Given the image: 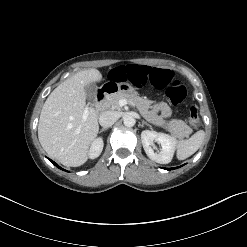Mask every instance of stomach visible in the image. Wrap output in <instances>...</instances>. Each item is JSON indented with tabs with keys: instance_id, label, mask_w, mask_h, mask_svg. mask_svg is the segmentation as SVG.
Listing matches in <instances>:
<instances>
[{
	"instance_id": "1",
	"label": "stomach",
	"mask_w": 247,
	"mask_h": 247,
	"mask_svg": "<svg viewBox=\"0 0 247 247\" xmlns=\"http://www.w3.org/2000/svg\"><path fill=\"white\" fill-rule=\"evenodd\" d=\"M120 90L123 93H128V94H137V92L135 91V89L131 86V85H122Z\"/></svg>"
}]
</instances>
